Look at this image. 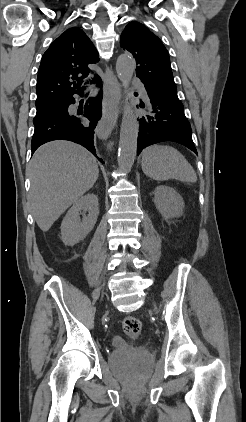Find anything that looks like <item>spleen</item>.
<instances>
[{"instance_id": "1", "label": "spleen", "mask_w": 246, "mask_h": 422, "mask_svg": "<svg viewBox=\"0 0 246 422\" xmlns=\"http://www.w3.org/2000/svg\"><path fill=\"white\" fill-rule=\"evenodd\" d=\"M142 170L145 175L156 181H197V175L190 163L177 149L168 145H152L146 148L142 154Z\"/></svg>"}]
</instances>
